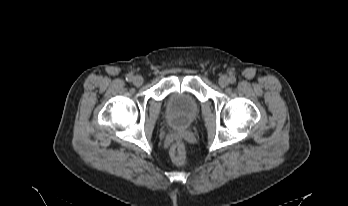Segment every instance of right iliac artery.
I'll list each match as a JSON object with an SVG mask.
<instances>
[{"label": "right iliac artery", "mask_w": 348, "mask_h": 206, "mask_svg": "<svg viewBox=\"0 0 348 206\" xmlns=\"http://www.w3.org/2000/svg\"><path fill=\"white\" fill-rule=\"evenodd\" d=\"M126 80H127L128 82H131V81L133 80V76L130 75V74H128L127 77H126Z\"/></svg>", "instance_id": "1"}]
</instances>
